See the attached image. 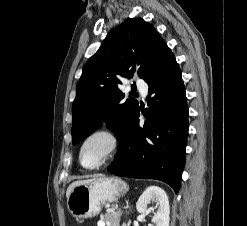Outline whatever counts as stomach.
<instances>
[{
    "instance_id": "stomach-1",
    "label": "stomach",
    "mask_w": 247,
    "mask_h": 226,
    "mask_svg": "<svg viewBox=\"0 0 247 226\" xmlns=\"http://www.w3.org/2000/svg\"><path fill=\"white\" fill-rule=\"evenodd\" d=\"M127 190L126 183L117 177H97L75 186L67 197V207L77 219L92 218Z\"/></svg>"
}]
</instances>
